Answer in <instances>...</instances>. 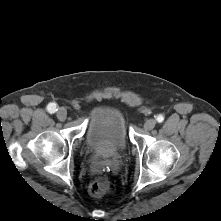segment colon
I'll return each mask as SVG.
<instances>
[{
	"label": "colon",
	"instance_id": "1",
	"mask_svg": "<svg viewBox=\"0 0 221 221\" xmlns=\"http://www.w3.org/2000/svg\"><path fill=\"white\" fill-rule=\"evenodd\" d=\"M113 190V184L104 177L94 180L88 188L89 194L94 197H101L109 194Z\"/></svg>",
	"mask_w": 221,
	"mask_h": 221
}]
</instances>
